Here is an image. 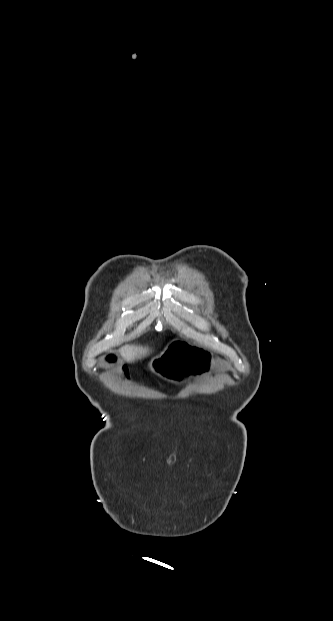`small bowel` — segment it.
<instances>
[{
    "label": "small bowel",
    "instance_id": "small-bowel-1",
    "mask_svg": "<svg viewBox=\"0 0 333 621\" xmlns=\"http://www.w3.org/2000/svg\"><path fill=\"white\" fill-rule=\"evenodd\" d=\"M106 358H107V360H108V361H110V362H114V361H116V356H115V355H113V354H110V355L106 356Z\"/></svg>",
    "mask_w": 333,
    "mask_h": 621
}]
</instances>
